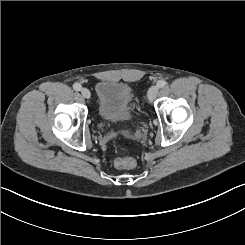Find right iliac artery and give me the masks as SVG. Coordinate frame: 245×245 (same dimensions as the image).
I'll list each match as a JSON object with an SVG mask.
<instances>
[{"label": "right iliac artery", "mask_w": 245, "mask_h": 245, "mask_svg": "<svg viewBox=\"0 0 245 245\" xmlns=\"http://www.w3.org/2000/svg\"><path fill=\"white\" fill-rule=\"evenodd\" d=\"M73 88H74V90H76V91H80V90L82 89V86H81V84H79V83H75V84L73 85Z\"/></svg>", "instance_id": "82829eb1"}]
</instances>
